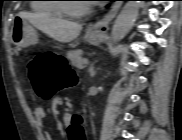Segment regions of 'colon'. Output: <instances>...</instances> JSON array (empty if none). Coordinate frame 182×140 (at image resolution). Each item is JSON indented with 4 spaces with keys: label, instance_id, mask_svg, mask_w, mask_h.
<instances>
[{
    "label": "colon",
    "instance_id": "5ec220e1",
    "mask_svg": "<svg viewBox=\"0 0 182 140\" xmlns=\"http://www.w3.org/2000/svg\"><path fill=\"white\" fill-rule=\"evenodd\" d=\"M29 77L35 93L43 99H49L75 83V75L67 61L58 56L33 58L29 64ZM67 137L68 140H87L85 117L81 112L70 116Z\"/></svg>",
    "mask_w": 182,
    "mask_h": 140
}]
</instances>
